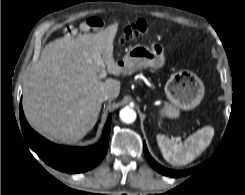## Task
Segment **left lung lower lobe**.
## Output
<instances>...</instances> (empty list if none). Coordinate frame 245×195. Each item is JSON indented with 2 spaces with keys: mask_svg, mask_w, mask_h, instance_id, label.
<instances>
[{
  "mask_svg": "<svg viewBox=\"0 0 245 195\" xmlns=\"http://www.w3.org/2000/svg\"><path fill=\"white\" fill-rule=\"evenodd\" d=\"M144 153H145V157L147 159V161L149 162V164L159 173H161L162 175L165 176H169V177H174V178H178V177H182V176H186L190 173H192L193 171H195L196 167L188 169V170H184V171H175V170H170L167 169L163 166H161L160 164H158L149 154L146 144L144 142Z\"/></svg>",
  "mask_w": 245,
  "mask_h": 195,
  "instance_id": "0a47b994",
  "label": "left lung lower lobe"
}]
</instances>
